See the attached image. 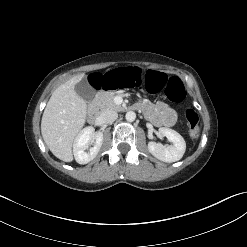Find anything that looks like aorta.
Instances as JSON below:
<instances>
[{"mask_svg":"<svg viewBox=\"0 0 247 247\" xmlns=\"http://www.w3.org/2000/svg\"><path fill=\"white\" fill-rule=\"evenodd\" d=\"M125 118L128 122H133L136 119V114L133 111H128L125 115Z\"/></svg>","mask_w":247,"mask_h":247,"instance_id":"obj_1","label":"aorta"}]
</instances>
